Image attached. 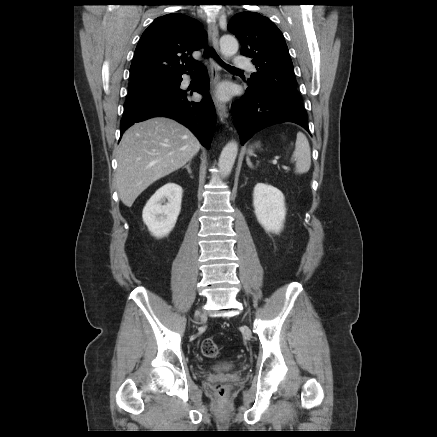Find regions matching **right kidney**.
I'll list each match as a JSON object with an SVG mask.
<instances>
[{
	"mask_svg": "<svg viewBox=\"0 0 437 437\" xmlns=\"http://www.w3.org/2000/svg\"><path fill=\"white\" fill-rule=\"evenodd\" d=\"M182 193L181 186L169 182L159 188L146 203L142 218L154 237L163 238L174 228L181 211Z\"/></svg>",
	"mask_w": 437,
	"mask_h": 437,
	"instance_id": "1",
	"label": "right kidney"
}]
</instances>
